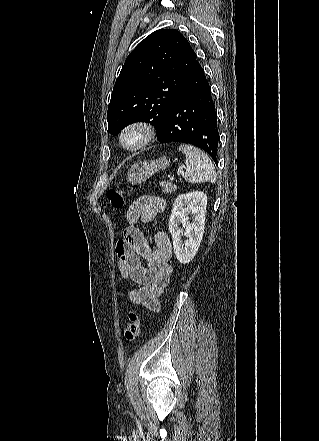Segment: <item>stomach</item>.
Here are the masks:
<instances>
[{
    "label": "stomach",
    "instance_id": "0dacf381",
    "mask_svg": "<svg viewBox=\"0 0 319 441\" xmlns=\"http://www.w3.org/2000/svg\"><path fill=\"white\" fill-rule=\"evenodd\" d=\"M169 163L170 160L166 157L135 163L128 170L126 179L131 184H140L153 174L166 169Z\"/></svg>",
    "mask_w": 319,
    "mask_h": 441
}]
</instances>
